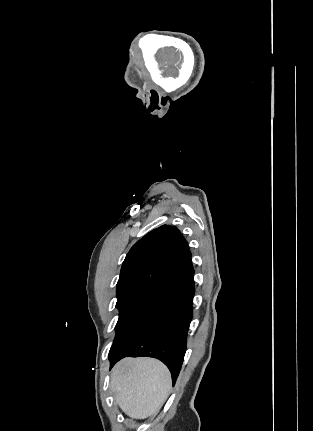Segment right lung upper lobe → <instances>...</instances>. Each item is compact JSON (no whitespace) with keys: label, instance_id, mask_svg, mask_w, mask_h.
Returning a JSON list of instances; mask_svg holds the SVG:
<instances>
[{"label":"right lung upper lobe","instance_id":"cb5924a9","mask_svg":"<svg viewBox=\"0 0 313 431\" xmlns=\"http://www.w3.org/2000/svg\"><path fill=\"white\" fill-rule=\"evenodd\" d=\"M191 258L176 227L163 225L147 233L128 252L117 283V297L149 296Z\"/></svg>","mask_w":313,"mask_h":431}]
</instances>
